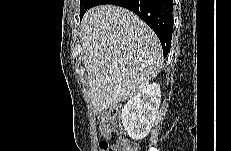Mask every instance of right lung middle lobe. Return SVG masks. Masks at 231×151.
<instances>
[{
  "label": "right lung middle lobe",
  "mask_w": 231,
  "mask_h": 151,
  "mask_svg": "<svg viewBox=\"0 0 231 151\" xmlns=\"http://www.w3.org/2000/svg\"><path fill=\"white\" fill-rule=\"evenodd\" d=\"M90 0H81L80 2V19L83 17L84 13L86 12L87 9H90Z\"/></svg>",
  "instance_id": "1"
}]
</instances>
